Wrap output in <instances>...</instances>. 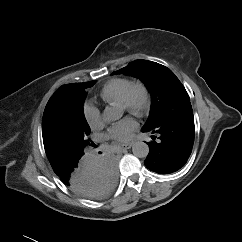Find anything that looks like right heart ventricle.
Wrapping results in <instances>:
<instances>
[{
  "label": "right heart ventricle",
  "mask_w": 242,
  "mask_h": 242,
  "mask_svg": "<svg viewBox=\"0 0 242 242\" xmlns=\"http://www.w3.org/2000/svg\"><path fill=\"white\" fill-rule=\"evenodd\" d=\"M131 80L128 78H114L106 82L100 90L101 99L109 104H120Z\"/></svg>",
  "instance_id": "right-heart-ventricle-1"
}]
</instances>
